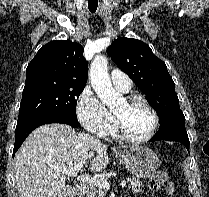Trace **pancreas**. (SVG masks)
<instances>
[{
    "mask_svg": "<svg viewBox=\"0 0 209 197\" xmlns=\"http://www.w3.org/2000/svg\"><path fill=\"white\" fill-rule=\"evenodd\" d=\"M130 182L133 193L142 192L143 184L140 179L132 177ZM84 192L86 197H103L105 193L104 189L89 183L84 187Z\"/></svg>",
    "mask_w": 209,
    "mask_h": 197,
    "instance_id": "obj_1",
    "label": "pancreas"
}]
</instances>
